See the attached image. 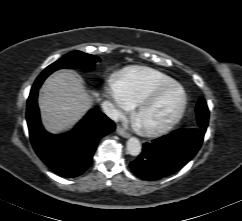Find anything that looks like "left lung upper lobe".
<instances>
[{
    "mask_svg": "<svg viewBox=\"0 0 242 221\" xmlns=\"http://www.w3.org/2000/svg\"><path fill=\"white\" fill-rule=\"evenodd\" d=\"M197 123L198 126H202L203 123H208L209 119V110L206 105L205 100L201 97L198 101L196 107Z\"/></svg>",
    "mask_w": 242,
    "mask_h": 221,
    "instance_id": "1",
    "label": "left lung upper lobe"
}]
</instances>
